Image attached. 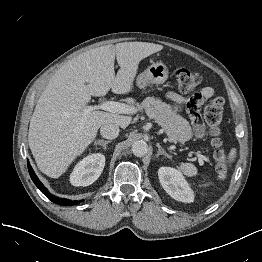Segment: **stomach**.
Wrapping results in <instances>:
<instances>
[{
  "label": "stomach",
  "mask_w": 262,
  "mask_h": 262,
  "mask_svg": "<svg viewBox=\"0 0 262 262\" xmlns=\"http://www.w3.org/2000/svg\"><path fill=\"white\" fill-rule=\"evenodd\" d=\"M168 74L167 66L162 62H156L138 75L136 84L140 89L152 84H163L168 79Z\"/></svg>",
  "instance_id": "stomach-1"
}]
</instances>
